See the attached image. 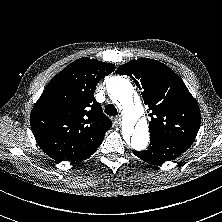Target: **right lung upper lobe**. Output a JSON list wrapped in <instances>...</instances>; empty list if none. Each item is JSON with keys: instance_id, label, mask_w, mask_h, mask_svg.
I'll list each match as a JSON object with an SVG mask.
<instances>
[{"instance_id": "cb5924a9", "label": "right lung upper lobe", "mask_w": 222, "mask_h": 222, "mask_svg": "<svg viewBox=\"0 0 222 222\" xmlns=\"http://www.w3.org/2000/svg\"><path fill=\"white\" fill-rule=\"evenodd\" d=\"M115 66L80 58L46 86L31 111V129L40 148L57 161L80 162L102 144L112 126L93 94Z\"/></svg>"}]
</instances>
